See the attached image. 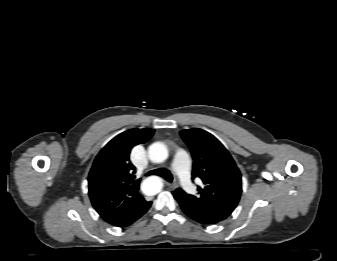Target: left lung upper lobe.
Masks as SVG:
<instances>
[{
    "mask_svg": "<svg viewBox=\"0 0 337 261\" xmlns=\"http://www.w3.org/2000/svg\"><path fill=\"white\" fill-rule=\"evenodd\" d=\"M193 156L192 178L202 180L196 196L178 188L173 191L180 205L216 223L226 219L237 206L241 174L229 152L212 134L202 129L180 131Z\"/></svg>",
    "mask_w": 337,
    "mask_h": 261,
    "instance_id": "obj_1",
    "label": "left lung upper lobe"
}]
</instances>
